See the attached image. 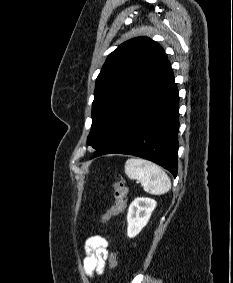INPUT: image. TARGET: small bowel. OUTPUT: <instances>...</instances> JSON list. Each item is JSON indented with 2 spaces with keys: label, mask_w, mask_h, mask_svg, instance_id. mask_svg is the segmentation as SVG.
Masks as SVG:
<instances>
[{
  "label": "small bowel",
  "mask_w": 233,
  "mask_h": 283,
  "mask_svg": "<svg viewBox=\"0 0 233 283\" xmlns=\"http://www.w3.org/2000/svg\"><path fill=\"white\" fill-rule=\"evenodd\" d=\"M108 259V241L99 235L89 237L85 243L82 268L86 276L102 275Z\"/></svg>",
  "instance_id": "c3829d8e"
}]
</instances>
